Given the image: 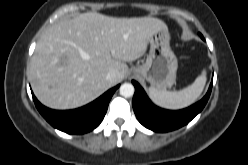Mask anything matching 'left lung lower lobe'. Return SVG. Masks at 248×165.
Returning <instances> with one entry per match:
<instances>
[{
    "label": "left lung lower lobe",
    "mask_w": 248,
    "mask_h": 165,
    "mask_svg": "<svg viewBox=\"0 0 248 165\" xmlns=\"http://www.w3.org/2000/svg\"><path fill=\"white\" fill-rule=\"evenodd\" d=\"M199 36L204 40L202 34ZM135 86L133 96V110L139 122L146 128L155 132H168L178 129L189 123L206 105L211 89L210 84L207 94L196 104L178 111H170L155 106L147 97L143 88L136 82L132 81Z\"/></svg>",
    "instance_id": "1"
}]
</instances>
